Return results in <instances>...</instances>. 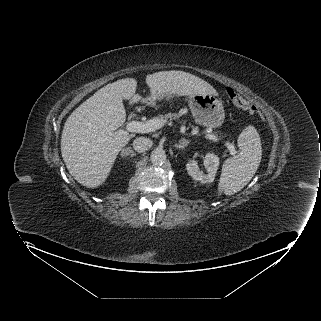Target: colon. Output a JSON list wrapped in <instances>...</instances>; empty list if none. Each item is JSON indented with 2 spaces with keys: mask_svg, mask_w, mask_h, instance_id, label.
Segmentation results:
<instances>
[{
  "mask_svg": "<svg viewBox=\"0 0 321 321\" xmlns=\"http://www.w3.org/2000/svg\"><path fill=\"white\" fill-rule=\"evenodd\" d=\"M227 94L229 99L235 106L261 114L259 109L254 104L244 99L240 94H238L233 89L229 88L227 90Z\"/></svg>",
  "mask_w": 321,
  "mask_h": 321,
  "instance_id": "obj_1",
  "label": "colon"
}]
</instances>
